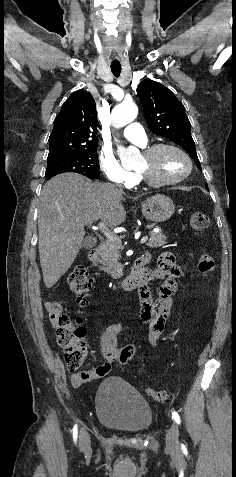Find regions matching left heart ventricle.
Returning a JSON list of instances; mask_svg holds the SVG:
<instances>
[{
  "instance_id": "left-heart-ventricle-1",
  "label": "left heart ventricle",
  "mask_w": 236,
  "mask_h": 477,
  "mask_svg": "<svg viewBox=\"0 0 236 477\" xmlns=\"http://www.w3.org/2000/svg\"><path fill=\"white\" fill-rule=\"evenodd\" d=\"M136 169L146 172L154 180H169L184 174L187 170V162L179 153L167 149L151 159L141 155Z\"/></svg>"
}]
</instances>
